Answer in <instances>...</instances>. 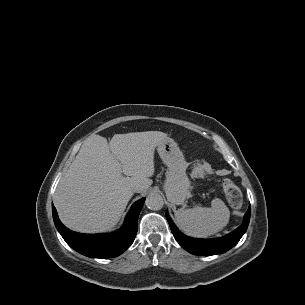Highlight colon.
Listing matches in <instances>:
<instances>
[{
  "mask_svg": "<svg viewBox=\"0 0 305 305\" xmlns=\"http://www.w3.org/2000/svg\"><path fill=\"white\" fill-rule=\"evenodd\" d=\"M222 187L228 203L232 207H239L242 204V194L235 183L231 179L225 178L222 181Z\"/></svg>",
  "mask_w": 305,
  "mask_h": 305,
  "instance_id": "5ec220e1",
  "label": "colon"
}]
</instances>
